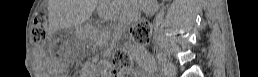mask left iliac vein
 I'll use <instances>...</instances> for the list:
<instances>
[{
	"mask_svg": "<svg viewBox=\"0 0 258 77\" xmlns=\"http://www.w3.org/2000/svg\"><path fill=\"white\" fill-rule=\"evenodd\" d=\"M162 71L164 72V74L166 76L172 77L176 73V67L172 62H170L168 60H164L163 66H162Z\"/></svg>",
	"mask_w": 258,
	"mask_h": 77,
	"instance_id": "obj_1",
	"label": "left iliac vein"
}]
</instances>
